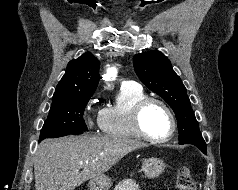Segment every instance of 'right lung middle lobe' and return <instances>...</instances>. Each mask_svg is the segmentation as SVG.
I'll use <instances>...</instances> for the list:
<instances>
[{
    "label": "right lung middle lobe",
    "mask_w": 238,
    "mask_h": 190,
    "mask_svg": "<svg viewBox=\"0 0 238 190\" xmlns=\"http://www.w3.org/2000/svg\"><path fill=\"white\" fill-rule=\"evenodd\" d=\"M92 94H80L67 99L53 101L47 120L40 133V140L59 137L69 133L86 131L83 120L86 104Z\"/></svg>",
    "instance_id": "1"
}]
</instances>
